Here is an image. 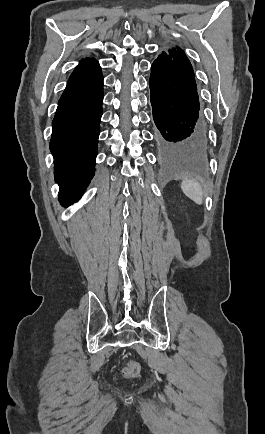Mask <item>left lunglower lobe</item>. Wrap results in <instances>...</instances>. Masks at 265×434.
I'll list each match as a JSON object with an SVG mask.
<instances>
[{"mask_svg": "<svg viewBox=\"0 0 265 434\" xmlns=\"http://www.w3.org/2000/svg\"><path fill=\"white\" fill-rule=\"evenodd\" d=\"M154 142L166 154L199 155L209 147L196 82L171 57L160 54L149 80Z\"/></svg>", "mask_w": 265, "mask_h": 434, "instance_id": "left-lung-lower-lobe-1", "label": "left lung lower lobe"}]
</instances>
